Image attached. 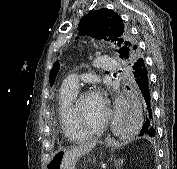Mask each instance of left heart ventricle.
Masks as SVG:
<instances>
[{
    "mask_svg": "<svg viewBox=\"0 0 177 169\" xmlns=\"http://www.w3.org/2000/svg\"><path fill=\"white\" fill-rule=\"evenodd\" d=\"M78 111L83 123L89 127L101 124L105 115V107L100 106L90 94L83 97Z\"/></svg>",
    "mask_w": 177,
    "mask_h": 169,
    "instance_id": "1",
    "label": "left heart ventricle"
}]
</instances>
